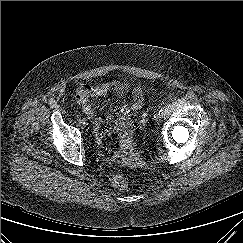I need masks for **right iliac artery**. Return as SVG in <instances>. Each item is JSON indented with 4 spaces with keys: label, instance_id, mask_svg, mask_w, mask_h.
Returning a JSON list of instances; mask_svg holds the SVG:
<instances>
[{
    "label": "right iliac artery",
    "instance_id": "1",
    "mask_svg": "<svg viewBox=\"0 0 243 243\" xmlns=\"http://www.w3.org/2000/svg\"><path fill=\"white\" fill-rule=\"evenodd\" d=\"M76 118H77V120H80L81 119V115L80 114H76Z\"/></svg>",
    "mask_w": 243,
    "mask_h": 243
}]
</instances>
